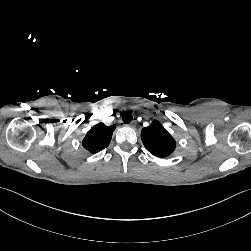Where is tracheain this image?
Listing matches in <instances>:
<instances>
[{
	"label": "trachea",
	"mask_w": 251,
	"mask_h": 251,
	"mask_svg": "<svg viewBox=\"0 0 251 251\" xmlns=\"http://www.w3.org/2000/svg\"><path fill=\"white\" fill-rule=\"evenodd\" d=\"M122 119H123V122L125 124H128V123H130L133 120V116H132V114L129 111H126L123 114V118Z\"/></svg>",
	"instance_id": "obj_1"
}]
</instances>
